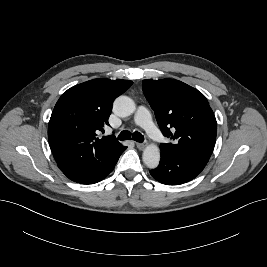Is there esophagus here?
<instances>
[{"label":"esophagus","instance_id":"1","mask_svg":"<svg viewBox=\"0 0 267 267\" xmlns=\"http://www.w3.org/2000/svg\"><path fill=\"white\" fill-rule=\"evenodd\" d=\"M136 146H137L138 149L141 150V149H144L145 148L146 144L145 143H139V142H137L136 143Z\"/></svg>","mask_w":267,"mask_h":267}]
</instances>
